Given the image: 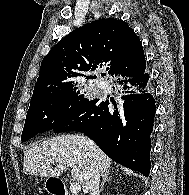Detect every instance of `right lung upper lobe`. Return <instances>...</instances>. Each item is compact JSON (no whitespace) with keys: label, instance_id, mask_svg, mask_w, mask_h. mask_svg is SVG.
Wrapping results in <instances>:
<instances>
[{"label":"right lung upper lobe","instance_id":"1","mask_svg":"<svg viewBox=\"0 0 189 195\" xmlns=\"http://www.w3.org/2000/svg\"><path fill=\"white\" fill-rule=\"evenodd\" d=\"M104 65L113 77L121 71H138L145 66L142 44L122 20L93 21L54 45L41 62L31 102L74 87L83 72Z\"/></svg>","mask_w":189,"mask_h":195}]
</instances>
